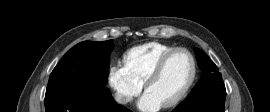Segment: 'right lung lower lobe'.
<instances>
[{
  "label": "right lung lower lobe",
  "instance_id": "98d812e1",
  "mask_svg": "<svg viewBox=\"0 0 270 112\" xmlns=\"http://www.w3.org/2000/svg\"><path fill=\"white\" fill-rule=\"evenodd\" d=\"M46 112H132L118 105L103 89L88 91L72 85H62L45 95Z\"/></svg>",
  "mask_w": 270,
  "mask_h": 112
}]
</instances>
